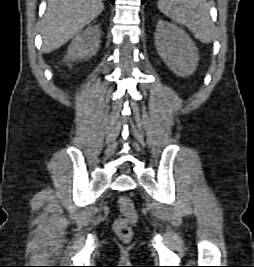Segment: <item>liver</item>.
<instances>
[{
	"mask_svg": "<svg viewBox=\"0 0 254 267\" xmlns=\"http://www.w3.org/2000/svg\"><path fill=\"white\" fill-rule=\"evenodd\" d=\"M102 0H48L42 20V51L50 53L72 39L98 17Z\"/></svg>",
	"mask_w": 254,
	"mask_h": 267,
	"instance_id": "liver-1",
	"label": "liver"
}]
</instances>
